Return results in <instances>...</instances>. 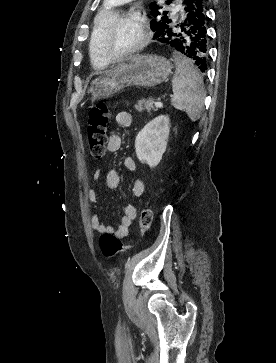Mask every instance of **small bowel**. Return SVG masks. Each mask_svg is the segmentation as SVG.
I'll list each match as a JSON object with an SVG mask.
<instances>
[{
    "label": "small bowel",
    "instance_id": "obj_1",
    "mask_svg": "<svg viewBox=\"0 0 276 363\" xmlns=\"http://www.w3.org/2000/svg\"><path fill=\"white\" fill-rule=\"evenodd\" d=\"M116 122L118 125L123 127H128L133 122V117L129 112L121 111L116 115ZM122 139L117 134L109 135L107 139V149L110 152H116L121 148ZM124 167L130 171L135 173L137 171V165L135 161L131 157H127L124 160ZM101 170L97 169L94 172L93 180L96 182L100 179ZM105 182L108 188L116 189L120 183V177L118 172L115 169L109 170L105 175ZM132 192L134 196L140 198L144 193V184L140 179H136L133 182ZM87 197L89 202L95 206L97 201V195L93 188H89L87 191ZM137 207L135 205L129 204L124 209V214L121 217L120 223L117 228H113L111 226H107L100 221V218L96 212L92 214L91 217V228L94 232L97 233H110L115 235L118 238H125L129 235L130 228L132 226L133 221L137 217Z\"/></svg>",
    "mask_w": 276,
    "mask_h": 363
}]
</instances>
